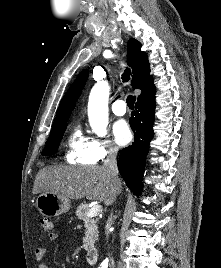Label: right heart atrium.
<instances>
[{
	"label": "right heart atrium",
	"instance_id": "obj_1",
	"mask_svg": "<svg viewBox=\"0 0 221 268\" xmlns=\"http://www.w3.org/2000/svg\"><path fill=\"white\" fill-rule=\"evenodd\" d=\"M92 150L96 162L104 161L117 153V148L108 138H92Z\"/></svg>",
	"mask_w": 221,
	"mask_h": 268
}]
</instances>
